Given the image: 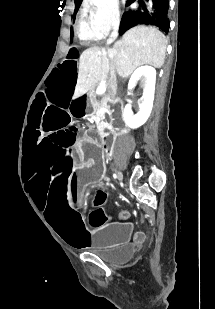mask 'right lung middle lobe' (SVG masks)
<instances>
[{
	"label": "right lung middle lobe",
	"instance_id": "dd1d6c3e",
	"mask_svg": "<svg viewBox=\"0 0 215 309\" xmlns=\"http://www.w3.org/2000/svg\"><path fill=\"white\" fill-rule=\"evenodd\" d=\"M81 1H82V0H78V2L75 3V14H76V12L78 11V8H79V6H80V4H81ZM130 2H131V0H128L127 5H128Z\"/></svg>",
	"mask_w": 215,
	"mask_h": 309
}]
</instances>
